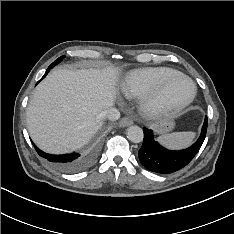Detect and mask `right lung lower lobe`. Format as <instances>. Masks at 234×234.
Masks as SVG:
<instances>
[{"label":"right lung lower lobe","mask_w":234,"mask_h":234,"mask_svg":"<svg viewBox=\"0 0 234 234\" xmlns=\"http://www.w3.org/2000/svg\"><path fill=\"white\" fill-rule=\"evenodd\" d=\"M51 68L52 67L50 65L48 69L46 70L45 75L42 77V79L48 74ZM34 147L37 153L41 157L47 159L59 170L68 172V173H74V172L83 170L90 164L91 160L93 159V153H89L87 155H80L79 153L54 155V154H48V153L41 151L35 145Z\"/></svg>","instance_id":"1"}]
</instances>
